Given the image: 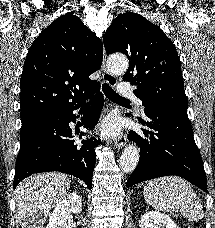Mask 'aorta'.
Instances as JSON below:
<instances>
[{
  "label": "aorta",
  "instance_id": "aorta-1",
  "mask_svg": "<svg viewBox=\"0 0 215 228\" xmlns=\"http://www.w3.org/2000/svg\"><path fill=\"white\" fill-rule=\"evenodd\" d=\"M109 68L117 72V74H120V72L124 74L129 68V62L126 56H114V58H110ZM139 158L140 152L137 146H133V144L127 146L120 158V168L122 172H125V174L133 172L139 162Z\"/></svg>",
  "mask_w": 215,
  "mask_h": 228
}]
</instances>
